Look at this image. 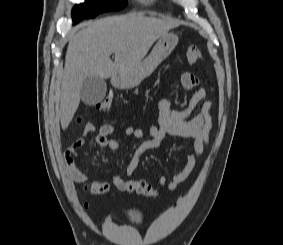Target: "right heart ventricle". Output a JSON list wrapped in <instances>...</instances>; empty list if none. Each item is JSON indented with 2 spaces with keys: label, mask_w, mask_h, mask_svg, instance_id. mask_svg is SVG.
<instances>
[{
  "label": "right heart ventricle",
  "mask_w": 283,
  "mask_h": 245,
  "mask_svg": "<svg viewBox=\"0 0 283 245\" xmlns=\"http://www.w3.org/2000/svg\"><path fill=\"white\" fill-rule=\"evenodd\" d=\"M141 2H144V3H147V2H150L152 0H140Z\"/></svg>",
  "instance_id": "e07e8e85"
}]
</instances>
